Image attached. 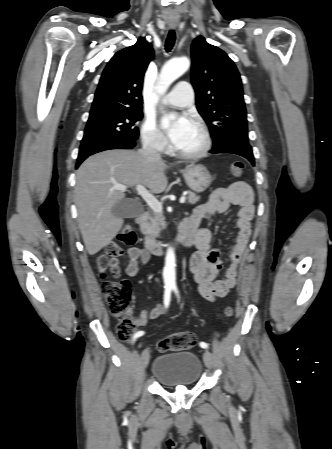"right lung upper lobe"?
Masks as SVG:
<instances>
[{
    "label": "right lung upper lobe",
    "instance_id": "cb5924a9",
    "mask_svg": "<svg viewBox=\"0 0 332 449\" xmlns=\"http://www.w3.org/2000/svg\"><path fill=\"white\" fill-rule=\"evenodd\" d=\"M153 54L144 38L117 52L102 73L90 113L141 109L143 77Z\"/></svg>",
    "mask_w": 332,
    "mask_h": 449
}]
</instances>
